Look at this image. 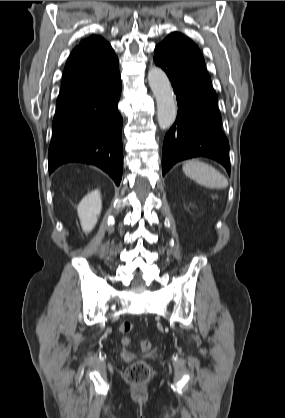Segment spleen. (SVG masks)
I'll use <instances>...</instances> for the list:
<instances>
[{"instance_id":"3e777b00","label":"spleen","mask_w":285,"mask_h":418,"mask_svg":"<svg viewBox=\"0 0 285 418\" xmlns=\"http://www.w3.org/2000/svg\"><path fill=\"white\" fill-rule=\"evenodd\" d=\"M183 172L197 183L216 189L228 186V180L213 166L199 160H188L184 163Z\"/></svg>"}]
</instances>
